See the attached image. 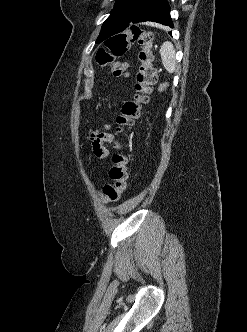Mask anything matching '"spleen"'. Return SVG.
Returning <instances> with one entry per match:
<instances>
[{
	"mask_svg": "<svg viewBox=\"0 0 247 332\" xmlns=\"http://www.w3.org/2000/svg\"><path fill=\"white\" fill-rule=\"evenodd\" d=\"M160 54L164 68L169 73H173L176 68L175 50L173 44L170 42L163 43L160 48Z\"/></svg>",
	"mask_w": 247,
	"mask_h": 332,
	"instance_id": "3e777b00",
	"label": "spleen"
}]
</instances>
